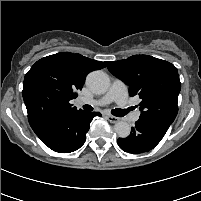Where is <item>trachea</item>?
<instances>
[{"label":"trachea","mask_w":201,"mask_h":201,"mask_svg":"<svg viewBox=\"0 0 201 201\" xmlns=\"http://www.w3.org/2000/svg\"><path fill=\"white\" fill-rule=\"evenodd\" d=\"M83 109L86 111H92L93 107L91 105H83ZM128 111L122 109H112L111 113L117 117H123Z\"/></svg>","instance_id":"3493384b"}]
</instances>
